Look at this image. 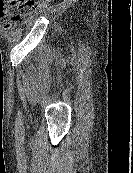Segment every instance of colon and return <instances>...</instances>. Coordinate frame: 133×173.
Returning <instances> with one entry per match:
<instances>
[{
	"label": "colon",
	"mask_w": 133,
	"mask_h": 173,
	"mask_svg": "<svg viewBox=\"0 0 133 173\" xmlns=\"http://www.w3.org/2000/svg\"><path fill=\"white\" fill-rule=\"evenodd\" d=\"M51 0H0V26L9 27Z\"/></svg>",
	"instance_id": "obj_1"
}]
</instances>
